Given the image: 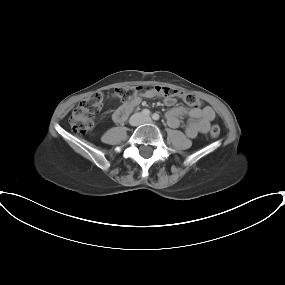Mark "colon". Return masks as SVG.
<instances>
[{"label":"colon","mask_w":285,"mask_h":285,"mask_svg":"<svg viewBox=\"0 0 285 285\" xmlns=\"http://www.w3.org/2000/svg\"><path fill=\"white\" fill-rule=\"evenodd\" d=\"M140 92L162 94L166 97L176 96L183 100L184 103L194 108L200 107L201 105V100L195 94L166 86H122L115 88L111 92V95L117 100L129 101ZM103 101V94L101 92H95L74 107L69 122L75 133L85 134L93 127L96 114L99 113L103 107ZM220 132V126L217 124L213 125L210 129V135L213 138H217L220 135Z\"/></svg>","instance_id":"colon-1"}]
</instances>
